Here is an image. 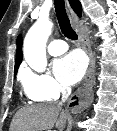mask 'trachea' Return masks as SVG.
Segmentation results:
<instances>
[{"mask_svg":"<svg viewBox=\"0 0 117 131\" xmlns=\"http://www.w3.org/2000/svg\"><path fill=\"white\" fill-rule=\"evenodd\" d=\"M54 6L58 23L64 36L72 40H77L78 35L71 27L70 20L66 14L64 0H54Z\"/></svg>","mask_w":117,"mask_h":131,"instance_id":"obj_1","label":"trachea"}]
</instances>
